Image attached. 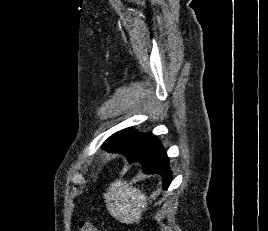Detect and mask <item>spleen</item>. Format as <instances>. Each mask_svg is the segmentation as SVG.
Instances as JSON below:
<instances>
[{"instance_id":"1","label":"spleen","mask_w":268,"mask_h":231,"mask_svg":"<svg viewBox=\"0 0 268 231\" xmlns=\"http://www.w3.org/2000/svg\"><path fill=\"white\" fill-rule=\"evenodd\" d=\"M104 199L110 215L126 224L138 223L146 205V196L141 190L120 180L111 183Z\"/></svg>"}]
</instances>
